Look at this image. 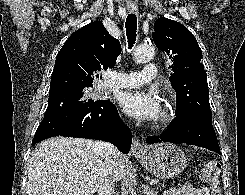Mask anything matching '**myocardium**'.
Wrapping results in <instances>:
<instances>
[{"mask_svg":"<svg viewBox=\"0 0 245 195\" xmlns=\"http://www.w3.org/2000/svg\"><path fill=\"white\" fill-rule=\"evenodd\" d=\"M175 117L176 115L174 111H172L169 108H164L163 111L161 112L159 119L155 123L154 128L162 129L167 127L174 121Z\"/></svg>","mask_w":245,"mask_h":195,"instance_id":"obj_1","label":"myocardium"}]
</instances>
